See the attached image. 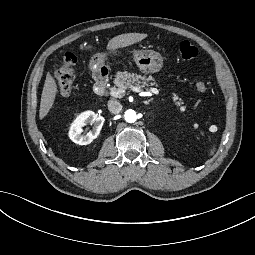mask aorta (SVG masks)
Wrapping results in <instances>:
<instances>
[{
	"label": "aorta",
	"mask_w": 255,
	"mask_h": 255,
	"mask_svg": "<svg viewBox=\"0 0 255 255\" xmlns=\"http://www.w3.org/2000/svg\"><path fill=\"white\" fill-rule=\"evenodd\" d=\"M124 119L129 123H133L137 120V114L134 110L128 109L125 111Z\"/></svg>",
	"instance_id": "aorta-1"
}]
</instances>
